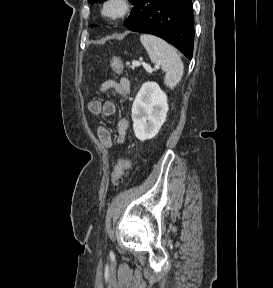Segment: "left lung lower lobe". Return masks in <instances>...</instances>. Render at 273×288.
<instances>
[{
  "instance_id": "obj_1",
  "label": "left lung lower lobe",
  "mask_w": 273,
  "mask_h": 288,
  "mask_svg": "<svg viewBox=\"0 0 273 288\" xmlns=\"http://www.w3.org/2000/svg\"><path fill=\"white\" fill-rule=\"evenodd\" d=\"M124 22L131 31L153 34L192 58L194 20L192 0H136Z\"/></svg>"
}]
</instances>
